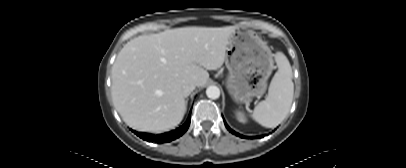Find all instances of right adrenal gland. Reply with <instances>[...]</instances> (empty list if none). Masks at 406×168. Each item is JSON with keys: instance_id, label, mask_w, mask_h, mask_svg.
Wrapping results in <instances>:
<instances>
[{"instance_id": "1", "label": "right adrenal gland", "mask_w": 406, "mask_h": 168, "mask_svg": "<svg viewBox=\"0 0 406 168\" xmlns=\"http://www.w3.org/2000/svg\"><path fill=\"white\" fill-rule=\"evenodd\" d=\"M185 103H186V105H187V103H188V99H186Z\"/></svg>"}]
</instances>
